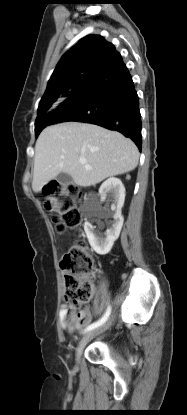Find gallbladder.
Masks as SVG:
<instances>
[{
	"instance_id": "obj_1",
	"label": "gallbladder",
	"mask_w": 187,
	"mask_h": 415,
	"mask_svg": "<svg viewBox=\"0 0 187 415\" xmlns=\"http://www.w3.org/2000/svg\"><path fill=\"white\" fill-rule=\"evenodd\" d=\"M56 179L60 184L65 186L74 184L72 177L64 172H61Z\"/></svg>"
}]
</instances>
